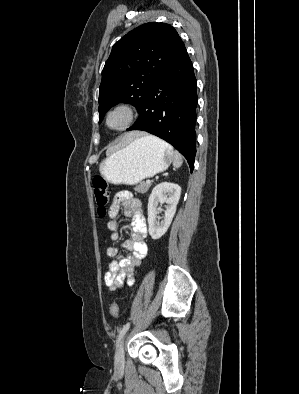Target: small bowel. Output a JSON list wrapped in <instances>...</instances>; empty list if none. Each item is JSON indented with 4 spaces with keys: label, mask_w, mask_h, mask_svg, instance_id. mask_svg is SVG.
<instances>
[{
    "label": "small bowel",
    "mask_w": 299,
    "mask_h": 394,
    "mask_svg": "<svg viewBox=\"0 0 299 394\" xmlns=\"http://www.w3.org/2000/svg\"><path fill=\"white\" fill-rule=\"evenodd\" d=\"M121 212L131 219V236L123 243V247L129 251V254L126 257H119L117 246L107 247L106 253L113 260L105 275V283L111 290L122 288L125 281L131 285L135 268L140 265L147 254V228L142 203L129 191L117 193L109 208L110 220L107 228L110 231V239L117 241L120 238L118 217Z\"/></svg>",
    "instance_id": "obj_1"
}]
</instances>
